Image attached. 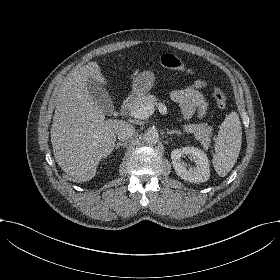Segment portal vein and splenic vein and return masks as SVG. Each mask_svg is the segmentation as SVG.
I'll list each match as a JSON object with an SVG mask.
<instances>
[{
  "label": "portal vein and splenic vein",
  "instance_id": "obj_1",
  "mask_svg": "<svg viewBox=\"0 0 280 280\" xmlns=\"http://www.w3.org/2000/svg\"><path fill=\"white\" fill-rule=\"evenodd\" d=\"M158 110L162 115H166L167 112V107L163 105L162 103L158 104ZM155 111L154 105L153 104H147L145 107L131 110L130 115L136 119H146L150 115H152Z\"/></svg>",
  "mask_w": 280,
  "mask_h": 280
}]
</instances>
